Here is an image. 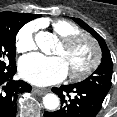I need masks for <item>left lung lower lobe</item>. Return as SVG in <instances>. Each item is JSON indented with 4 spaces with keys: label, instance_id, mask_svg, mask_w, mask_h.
I'll return each instance as SVG.
<instances>
[{
    "label": "left lung lower lobe",
    "instance_id": "1",
    "mask_svg": "<svg viewBox=\"0 0 117 117\" xmlns=\"http://www.w3.org/2000/svg\"><path fill=\"white\" fill-rule=\"evenodd\" d=\"M52 91L61 98L62 107L55 112H45L44 117H95L105 98L100 92L78 83L54 87Z\"/></svg>",
    "mask_w": 117,
    "mask_h": 117
}]
</instances>
